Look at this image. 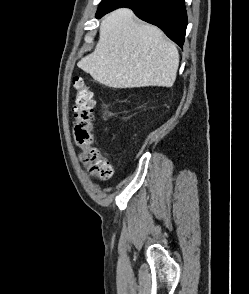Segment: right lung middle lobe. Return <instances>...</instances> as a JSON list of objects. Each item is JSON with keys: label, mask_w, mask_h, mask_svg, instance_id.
<instances>
[{"label": "right lung middle lobe", "mask_w": 249, "mask_h": 294, "mask_svg": "<svg viewBox=\"0 0 249 294\" xmlns=\"http://www.w3.org/2000/svg\"><path fill=\"white\" fill-rule=\"evenodd\" d=\"M120 1L122 0H102V2L99 5L97 13L119 3Z\"/></svg>", "instance_id": "right-lung-middle-lobe-1"}]
</instances>
